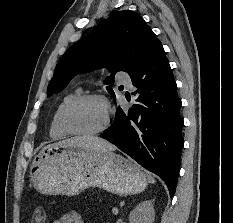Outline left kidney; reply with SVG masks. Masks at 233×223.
Masks as SVG:
<instances>
[{
  "label": "left kidney",
  "mask_w": 233,
  "mask_h": 223,
  "mask_svg": "<svg viewBox=\"0 0 233 223\" xmlns=\"http://www.w3.org/2000/svg\"><path fill=\"white\" fill-rule=\"evenodd\" d=\"M154 201L155 199H146V201H140V203L136 205L135 209H132V211L129 213L130 223H154Z\"/></svg>",
  "instance_id": "left-kidney-1"
}]
</instances>
